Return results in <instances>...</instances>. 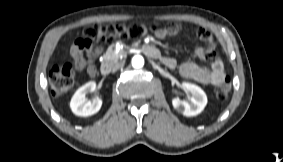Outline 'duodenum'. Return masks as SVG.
<instances>
[{
	"label": "duodenum",
	"instance_id": "duodenum-1",
	"mask_svg": "<svg viewBox=\"0 0 283 162\" xmlns=\"http://www.w3.org/2000/svg\"><path fill=\"white\" fill-rule=\"evenodd\" d=\"M142 50L147 56L152 58H160L161 56L159 50L154 45L151 44L142 45ZM111 68H112L111 63L105 61L101 64V73L103 75H108L111 72Z\"/></svg>",
	"mask_w": 283,
	"mask_h": 162
}]
</instances>
